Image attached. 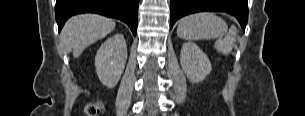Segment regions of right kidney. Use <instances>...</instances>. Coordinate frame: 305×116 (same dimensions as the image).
<instances>
[{
    "mask_svg": "<svg viewBox=\"0 0 305 116\" xmlns=\"http://www.w3.org/2000/svg\"><path fill=\"white\" fill-rule=\"evenodd\" d=\"M127 60V46L123 34L108 38L95 57L97 75L103 85L114 88L119 82Z\"/></svg>",
    "mask_w": 305,
    "mask_h": 116,
    "instance_id": "right-kidney-1",
    "label": "right kidney"
}]
</instances>
